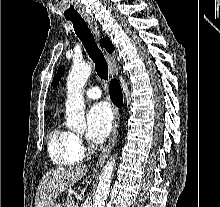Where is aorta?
<instances>
[{"label":"aorta","mask_w":220,"mask_h":207,"mask_svg":"<svg viewBox=\"0 0 220 207\" xmlns=\"http://www.w3.org/2000/svg\"><path fill=\"white\" fill-rule=\"evenodd\" d=\"M92 72V66L89 63L74 64L68 75L66 88V125L73 131H84L86 122L84 116L83 88ZM116 164L115 158L111 157L104 166L100 174L98 186L94 194L93 207H104L109 193L111 178Z\"/></svg>","instance_id":"762f6f07"}]
</instances>
